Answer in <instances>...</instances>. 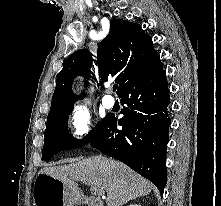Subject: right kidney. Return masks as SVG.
Here are the masks:
<instances>
[{"instance_id": "ca27d5eb", "label": "right kidney", "mask_w": 221, "mask_h": 206, "mask_svg": "<svg viewBox=\"0 0 221 206\" xmlns=\"http://www.w3.org/2000/svg\"><path fill=\"white\" fill-rule=\"evenodd\" d=\"M128 206H141L140 204H130Z\"/></svg>"}]
</instances>
